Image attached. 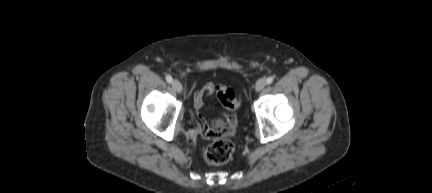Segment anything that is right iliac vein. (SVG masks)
I'll list each match as a JSON object with an SVG mask.
<instances>
[{"label":"right iliac vein","instance_id":"obj_1","mask_svg":"<svg viewBox=\"0 0 432 193\" xmlns=\"http://www.w3.org/2000/svg\"><path fill=\"white\" fill-rule=\"evenodd\" d=\"M172 88L177 93H181L182 92V85H181V83L178 80H174L172 82Z\"/></svg>","mask_w":432,"mask_h":193}]
</instances>
